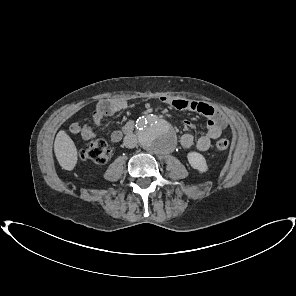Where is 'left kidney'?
Segmentation results:
<instances>
[{
	"mask_svg": "<svg viewBox=\"0 0 296 296\" xmlns=\"http://www.w3.org/2000/svg\"><path fill=\"white\" fill-rule=\"evenodd\" d=\"M187 159L192 168L200 172H206L208 170L206 160L202 154L198 152H189Z\"/></svg>",
	"mask_w": 296,
	"mask_h": 296,
	"instance_id": "5707ae66",
	"label": "left kidney"
}]
</instances>
